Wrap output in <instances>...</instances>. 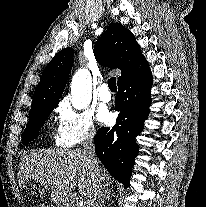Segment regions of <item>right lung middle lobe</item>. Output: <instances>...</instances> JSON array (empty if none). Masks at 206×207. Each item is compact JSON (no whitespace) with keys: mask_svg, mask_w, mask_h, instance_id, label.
I'll return each instance as SVG.
<instances>
[{"mask_svg":"<svg viewBox=\"0 0 206 207\" xmlns=\"http://www.w3.org/2000/svg\"><path fill=\"white\" fill-rule=\"evenodd\" d=\"M57 106V104H47L43 105L29 113V122L24 131L22 138L23 144L29 143L31 140L37 137V134L44 124L46 118L52 112V110Z\"/></svg>","mask_w":206,"mask_h":207,"instance_id":"obj_1","label":"right lung middle lobe"}]
</instances>
